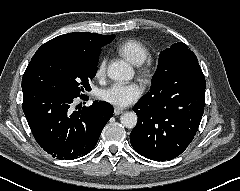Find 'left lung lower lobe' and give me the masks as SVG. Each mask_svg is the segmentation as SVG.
<instances>
[{
  "label": "left lung lower lobe",
  "instance_id": "left-lung-lower-lobe-1",
  "mask_svg": "<svg viewBox=\"0 0 240 191\" xmlns=\"http://www.w3.org/2000/svg\"><path fill=\"white\" fill-rule=\"evenodd\" d=\"M178 87L140 99L133 107L138 124L130 134L132 147L155 161L171 160L192 142L205 106L203 73L181 77Z\"/></svg>",
  "mask_w": 240,
  "mask_h": 191
}]
</instances>
